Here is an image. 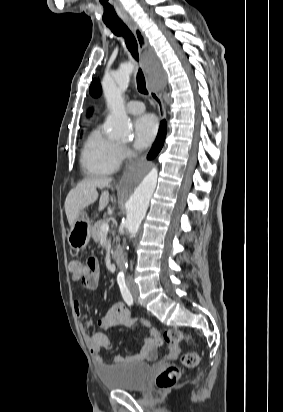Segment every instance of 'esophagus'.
Here are the masks:
<instances>
[{
    "label": "esophagus",
    "instance_id": "34e87169",
    "mask_svg": "<svg viewBox=\"0 0 283 412\" xmlns=\"http://www.w3.org/2000/svg\"><path fill=\"white\" fill-rule=\"evenodd\" d=\"M125 23L127 24V26L130 28V30L133 32L137 44H138V49H139V53L141 55V65L142 68L146 74V81H147V88L149 90L150 96L152 98V100L154 101L155 105L157 106V110H158V114H159V118L160 120H164L166 117V110H165V106L162 100V87L161 86H157V87H153V83L155 82L153 74L155 73L154 70V65L152 64V62L148 59H146L143 56L144 51L147 49L148 47V41L147 38L145 36V34L143 33V31L139 28V26L131 19L126 20ZM152 71V74L148 75V72Z\"/></svg>",
    "mask_w": 283,
    "mask_h": 412
}]
</instances>
